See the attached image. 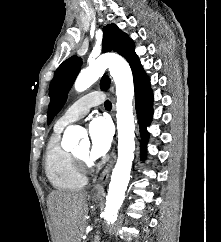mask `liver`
Here are the masks:
<instances>
[{
  "label": "liver",
  "mask_w": 221,
  "mask_h": 242,
  "mask_svg": "<svg viewBox=\"0 0 221 242\" xmlns=\"http://www.w3.org/2000/svg\"><path fill=\"white\" fill-rule=\"evenodd\" d=\"M87 192H52L47 205L55 242H81L88 214Z\"/></svg>",
  "instance_id": "1"
}]
</instances>
